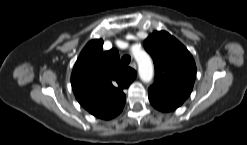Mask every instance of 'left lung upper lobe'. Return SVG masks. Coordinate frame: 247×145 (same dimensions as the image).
Wrapping results in <instances>:
<instances>
[{"label": "left lung upper lobe", "instance_id": "5c2ea615", "mask_svg": "<svg viewBox=\"0 0 247 145\" xmlns=\"http://www.w3.org/2000/svg\"><path fill=\"white\" fill-rule=\"evenodd\" d=\"M144 48L155 65V82L151 87L187 99L196 78V65L190 52L165 31L150 34Z\"/></svg>", "mask_w": 247, "mask_h": 145}]
</instances>
